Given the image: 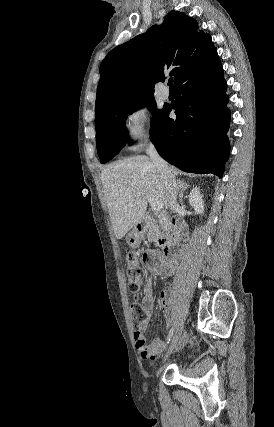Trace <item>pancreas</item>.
<instances>
[{
    "mask_svg": "<svg viewBox=\"0 0 274 427\" xmlns=\"http://www.w3.org/2000/svg\"><path fill=\"white\" fill-rule=\"evenodd\" d=\"M160 219H165V215L158 217V219H151V217H149L146 221L147 237L148 239H152V241L159 239V237H164L165 235L166 223H159Z\"/></svg>",
    "mask_w": 274,
    "mask_h": 427,
    "instance_id": "cf45deb5",
    "label": "pancreas"
}]
</instances>
